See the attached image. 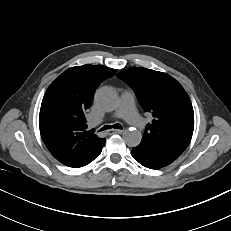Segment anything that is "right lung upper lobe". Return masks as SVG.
<instances>
[{
	"instance_id": "1",
	"label": "right lung upper lobe",
	"mask_w": 231,
	"mask_h": 231,
	"mask_svg": "<svg viewBox=\"0 0 231 231\" xmlns=\"http://www.w3.org/2000/svg\"><path fill=\"white\" fill-rule=\"evenodd\" d=\"M116 71L101 65L72 67L47 89L40 108V133L62 164L79 166L104 146L105 138L86 130L85 113L98 85Z\"/></svg>"
}]
</instances>
